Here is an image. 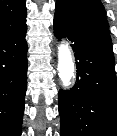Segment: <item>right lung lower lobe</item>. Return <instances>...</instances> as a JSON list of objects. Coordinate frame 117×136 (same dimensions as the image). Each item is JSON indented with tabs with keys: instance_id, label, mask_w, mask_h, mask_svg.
I'll list each match as a JSON object with an SVG mask.
<instances>
[{
	"instance_id": "right-lung-lower-lobe-1",
	"label": "right lung lower lobe",
	"mask_w": 117,
	"mask_h": 136,
	"mask_svg": "<svg viewBox=\"0 0 117 136\" xmlns=\"http://www.w3.org/2000/svg\"><path fill=\"white\" fill-rule=\"evenodd\" d=\"M27 25L0 37V136H21L27 90Z\"/></svg>"
}]
</instances>
